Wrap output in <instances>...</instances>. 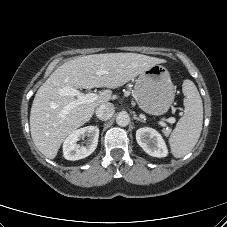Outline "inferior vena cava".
<instances>
[{
    "mask_svg": "<svg viewBox=\"0 0 227 227\" xmlns=\"http://www.w3.org/2000/svg\"><path fill=\"white\" fill-rule=\"evenodd\" d=\"M115 112V107L112 103H103L96 108V116L103 121L109 120Z\"/></svg>",
    "mask_w": 227,
    "mask_h": 227,
    "instance_id": "1",
    "label": "inferior vena cava"
}]
</instances>
